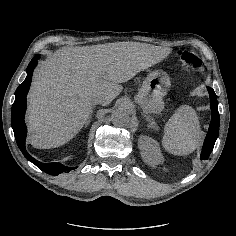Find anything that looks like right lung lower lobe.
<instances>
[{
    "mask_svg": "<svg viewBox=\"0 0 236 236\" xmlns=\"http://www.w3.org/2000/svg\"><path fill=\"white\" fill-rule=\"evenodd\" d=\"M40 55H36L27 67V77L24 82L20 84L15 93V101L11 111V125L14 131V136L17 145L23 155L32 163H34L42 171L50 175H58L63 172H69L76 169L77 167L65 166L61 163H42L33 158L26 150L25 140L27 135V128L24 122V116L26 111V95L29 91L32 73L37 65V60Z\"/></svg>",
    "mask_w": 236,
    "mask_h": 236,
    "instance_id": "98d812e1",
    "label": "right lung lower lobe"
}]
</instances>
